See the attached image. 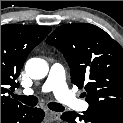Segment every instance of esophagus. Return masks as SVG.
<instances>
[{"instance_id":"obj_1","label":"esophagus","mask_w":123,"mask_h":123,"mask_svg":"<svg viewBox=\"0 0 123 123\" xmlns=\"http://www.w3.org/2000/svg\"><path fill=\"white\" fill-rule=\"evenodd\" d=\"M46 114L48 116L53 117L54 120H56V121H60L61 120V113H59V112L47 111Z\"/></svg>"}]
</instances>
